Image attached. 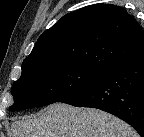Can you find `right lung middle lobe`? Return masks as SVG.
Instances as JSON below:
<instances>
[{
    "label": "right lung middle lobe",
    "instance_id": "right-lung-middle-lobe-1",
    "mask_svg": "<svg viewBox=\"0 0 144 137\" xmlns=\"http://www.w3.org/2000/svg\"><path fill=\"white\" fill-rule=\"evenodd\" d=\"M105 74L102 70L70 62L22 67V75L12 87L14 104L9 109L20 111L62 101Z\"/></svg>",
    "mask_w": 144,
    "mask_h": 137
}]
</instances>
